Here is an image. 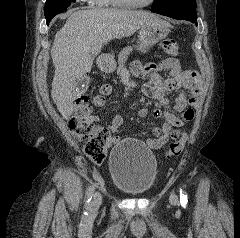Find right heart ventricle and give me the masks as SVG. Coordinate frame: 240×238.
Wrapping results in <instances>:
<instances>
[{
    "label": "right heart ventricle",
    "instance_id": "right-heart-ventricle-1",
    "mask_svg": "<svg viewBox=\"0 0 240 238\" xmlns=\"http://www.w3.org/2000/svg\"><path fill=\"white\" fill-rule=\"evenodd\" d=\"M99 5H101V6H118L114 0H103Z\"/></svg>",
    "mask_w": 240,
    "mask_h": 238
}]
</instances>
